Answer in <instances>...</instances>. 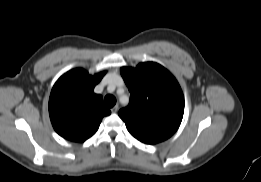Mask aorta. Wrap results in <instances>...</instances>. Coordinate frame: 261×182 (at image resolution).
Here are the masks:
<instances>
[{"instance_id": "762f6f07", "label": "aorta", "mask_w": 261, "mask_h": 182, "mask_svg": "<svg viewBox=\"0 0 261 182\" xmlns=\"http://www.w3.org/2000/svg\"><path fill=\"white\" fill-rule=\"evenodd\" d=\"M120 101L122 102V97L120 98Z\"/></svg>"}]
</instances>
